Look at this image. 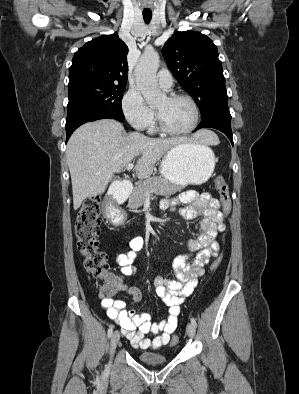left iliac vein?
<instances>
[{
	"label": "left iliac vein",
	"mask_w": 299,
	"mask_h": 394,
	"mask_svg": "<svg viewBox=\"0 0 299 394\" xmlns=\"http://www.w3.org/2000/svg\"><path fill=\"white\" fill-rule=\"evenodd\" d=\"M187 335L191 338L195 335V326L192 323H189L186 328Z\"/></svg>",
	"instance_id": "obj_1"
}]
</instances>
